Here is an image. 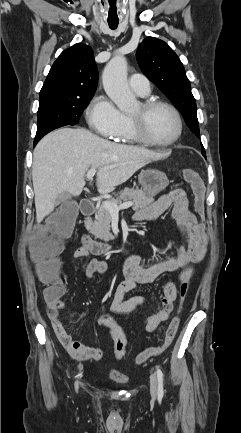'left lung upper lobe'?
Wrapping results in <instances>:
<instances>
[{"label": "left lung upper lobe", "instance_id": "5c2ea615", "mask_svg": "<svg viewBox=\"0 0 241 433\" xmlns=\"http://www.w3.org/2000/svg\"><path fill=\"white\" fill-rule=\"evenodd\" d=\"M136 58L145 76L179 108L187 126L200 138L196 101L177 54L164 41L147 37L139 45Z\"/></svg>", "mask_w": 241, "mask_h": 433}]
</instances>
